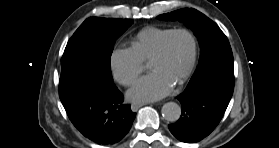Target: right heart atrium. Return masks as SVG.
Returning a JSON list of instances; mask_svg holds the SVG:
<instances>
[{
	"mask_svg": "<svg viewBox=\"0 0 279 148\" xmlns=\"http://www.w3.org/2000/svg\"><path fill=\"white\" fill-rule=\"evenodd\" d=\"M114 79L122 85H132L144 70V62L132 47L117 48L110 57Z\"/></svg>",
	"mask_w": 279,
	"mask_h": 148,
	"instance_id": "1",
	"label": "right heart atrium"
}]
</instances>
